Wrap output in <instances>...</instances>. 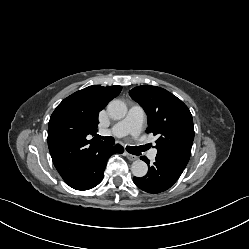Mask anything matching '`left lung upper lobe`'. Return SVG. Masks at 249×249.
Here are the masks:
<instances>
[{
    "mask_svg": "<svg viewBox=\"0 0 249 249\" xmlns=\"http://www.w3.org/2000/svg\"><path fill=\"white\" fill-rule=\"evenodd\" d=\"M148 117L147 133L157 136V159L185 168L194 139L192 115L188 107L163 88L144 85L130 90Z\"/></svg>",
    "mask_w": 249,
    "mask_h": 249,
    "instance_id": "5c2ea615",
    "label": "left lung upper lobe"
}]
</instances>
